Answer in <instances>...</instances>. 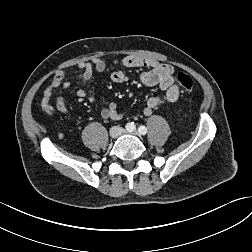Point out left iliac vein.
<instances>
[{
	"mask_svg": "<svg viewBox=\"0 0 252 252\" xmlns=\"http://www.w3.org/2000/svg\"><path fill=\"white\" fill-rule=\"evenodd\" d=\"M124 133H127V132H124ZM130 134H133V135H138V131H136V130H133V131H131V132H129Z\"/></svg>",
	"mask_w": 252,
	"mask_h": 252,
	"instance_id": "obj_1",
	"label": "left iliac vein"
}]
</instances>
